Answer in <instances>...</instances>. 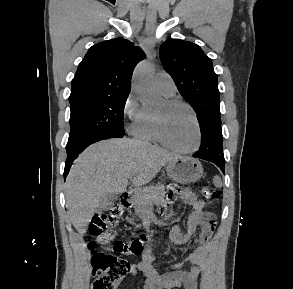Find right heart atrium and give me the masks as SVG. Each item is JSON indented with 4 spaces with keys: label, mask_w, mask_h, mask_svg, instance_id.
<instances>
[{
    "label": "right heart atrium",
    "mask_w": 293,
    "mask_h": 289,
    "mask_svg": "<svg viewBox=\"0 0 293 289\" xmlns=\"http://www.w3.org/2000/svg\"><path fill=\"white\" fill-rule=\"evenodd\" d=\"M144 108L140 104L134 92H130L122 107V116L126 122L128 132L134 134L137 126L142 120Z\"/></svg>",
    "instance_id": "right-heart-atrium-1"
}]
</instances>
